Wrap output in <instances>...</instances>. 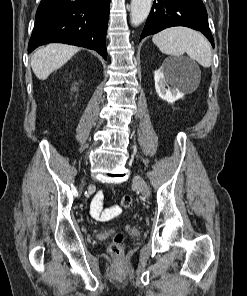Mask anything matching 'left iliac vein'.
<instances>
[{
  "label": "left iliac vein",
  "mask_w": 247,
  "mask_h": 296,
  "mask_svg": "<svg viewBox=\"0 0 247 296\" xmlns=\"http://www.w3.org/2000/svg\"><path fill=\"white\" fill-rule=\"evenodd\" d=\"M134 184L138 187L141 193L144 195L145 198L150 196V191L147 183L140 177L135 176L133 179Z\"/></svg>",
  "instance_id": "4c4485c4"
}]
</instances>
